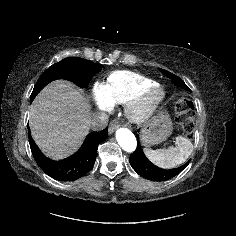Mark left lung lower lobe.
I'll list each match as a JSON object with an SVG mask.
<instances>
[{
	"instance_id": "left-lung-lower-lobe-1",
	"label": "left lung lower lobe",
	"mask_w": 236,
	"mask_h": 236,
	"mask_svg": "<svg viewBox=\"0 0 236 236\" xmlns=\"http://www.w3.org/2000/svg\"><path fill=\"white\" fill-rule=\"evenodd\" d=\"M129 161L133 169L142 177L153 181H166L179 174L189 164L188 161L183 166L176 169L165 170L152 164L145 156L138 140L136 150L129 157Z\"/></svg>"
}]
</instances>
